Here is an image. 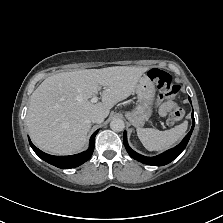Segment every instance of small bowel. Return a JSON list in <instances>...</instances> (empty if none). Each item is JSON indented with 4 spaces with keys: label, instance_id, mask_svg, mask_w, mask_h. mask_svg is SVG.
I'll use <instances>...</instances> for the list:
<instances>
[{
    "label": "small bowel",
    "instance_id": "obj_1",
    "mask_svg": "<svg viewBox=\"0 0 223 223\" xmlns=\"http://www.w3.org/2000/svg\"><path fill=\"white\" fill-rule=\"evenodd\" d=\"M162 96L159 97V111L161 114H166L168 111H170L173 107H174V103L173 101H166V102H162Z\"/></svg>",
    "mask_w": 223,
    "mask_h": 223
}]
</instances>
